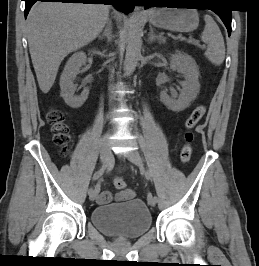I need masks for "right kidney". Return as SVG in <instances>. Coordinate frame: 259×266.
<instances>
[{
	"label": "right kidney",
	"mask_w": 259,
	"mask_h": 266,
	"mask_svg": "<svg viewBox=\"0 0 259 266\" xmlns=\"http://www.w3.org/2000/svg\"><path fill=\"white\" fill-rule=\"evenodd\" d=\"M86 53L83 51L75 52L66 63L60 77L61 96L65 103L71 108H79L88 98L89 89L84 88L81 95H74L76 86L74 80L83 64L86 62Z\"/></svg>",
	"instance_id": "ca27d5eb"
}]
</instances>
